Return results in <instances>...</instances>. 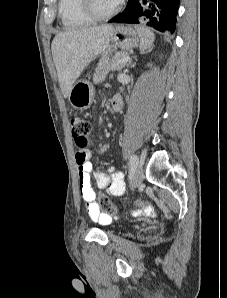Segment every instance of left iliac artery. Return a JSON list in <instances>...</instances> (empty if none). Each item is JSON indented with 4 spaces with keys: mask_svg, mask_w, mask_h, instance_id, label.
Masks as SVG:
<instances>
[{
    "mask_svg": "<svg viewBox=\"0 0 227 298\" xmlns=\"http://www.w3.org/2000/svg\"><path fill=\"white\" fill-rule=\"evenodd\" d=\"M138 165V157L136 155H132L130 157L129 166L131 169L136 168Z\"/></svg>",
    "mask_w": 227,
    "mask_h": 298,
    "instance_id": "1",
    "label": "left iliac artery"
}]
</instances>
